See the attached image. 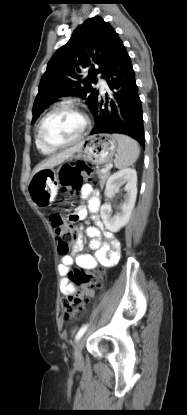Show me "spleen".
Segmentation results:
<instances>
[{
	"label": "spleen",
	"instance_id": "obj_1",
	"mask_svg": "<svg viewBox=\"0 0 187 415\" xmlns=\"http://www.w3.org/2000/svg\"><path fill=\"white\" fill-rule=\"evenodd\" d=\"M118 143L114 165L118 169L128 167L136 162L140 154L138 143L129 136L113 134Z\"/></svg>",
	"mask_w": 187,
	"mask_h": 415
}]
</instances>
